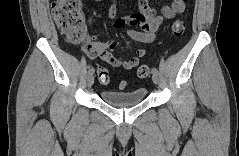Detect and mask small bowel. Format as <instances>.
I'll use <instances>...</instances> for the list:
<instances>
[{
	"mask_svg": "<svg viewBox=\"0 0 239 156\" xmlns=\"http://www.w3.org/2000/svg\"><path fill=\"white\" fill-rule=\"evenodd\" d=\"M184 10L185 2L183 0H173L170 6H163L159 10L153 8L148 1L142 0L139 2L138 14L115 20L114 27L122 28L125 24L140 26L141 30L128 29V36L139 43L149 44L154 41L155 35L161 29L164 20L174 18ZM115 13L116 6L111 5L109 16L113 18ZM117 45V41L106 43L89 41L84 46V50L91 58H100L114 67H121L126 70L135 68L139 64L140 58L146 54V49L142 47L137 49L135 54L128 59L119 58L112 53Z\"/></svg>",
	"mask_w": 239,
	"mask_h": 156,
	"instance_id": "small-bowel-1",
	"label": "small bowel"
}]
</instances>
